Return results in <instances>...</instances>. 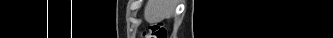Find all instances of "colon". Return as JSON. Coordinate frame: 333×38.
I'll return each instance as SVG.
<instances>
[{"label":"colon","instance_id":"5ec220e1","mask_svg":"<svg viewBox=\"0 0 333 38\" xmlns=\"http://www.w3.org/2000/svg\"><path fill=\"white\" fill-rule=\"evenodd\" d=\"M146 38H167V32L162 23L157 22L149 27Z\"/></svg>","mask_w":333,"mask_h":38}]
</instances>
